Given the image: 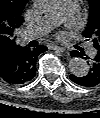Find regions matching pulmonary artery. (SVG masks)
<instances>
[{"label":"pulmonary artery","mask_w":100,"mask_h":118,"mask_svg":"<svg viewBox=\"0 0 100 118\" xmlns=\"http://www.w3.org/2000/svg\"><path fill=\"white\" fill-rule=\"evenodd\" d=\"M78 3L79 0H60L57 11L42 17L36 23L26 27V38L35 39L48 33L57 24L70 18L76 11ZM88 54L91 56L95 54L94 47H89Z\"/></svg>","instance_id":"1"}]
</instances>
